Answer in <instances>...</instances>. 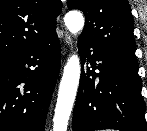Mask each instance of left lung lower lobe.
Wrapping results in <instances>:
<instances>
[{"mask_svg":"<svg viewBox=\"0 0 147 131\" xmlns=\"http://www.w3.org/2000/svg\"><path fill=\"white\" fill-rule=\"evenodd\" d=\"M78 48L82 71L73 131H147L138 67L82 39H79ZM86 62L89 64L84 70Z\"/></svg>","mask_w":147,"mask_h":131,"instance_id":"1","label":"left lung lower lobe"}]
</instances>
